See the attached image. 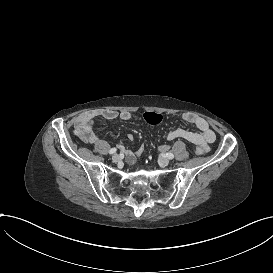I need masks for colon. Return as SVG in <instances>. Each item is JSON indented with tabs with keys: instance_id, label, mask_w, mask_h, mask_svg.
Masks as SVG:
<instances>
[{
	"instance_id": "1",
	"label": "colon",
	"mask_w": 273,
	"mask_h": 273,
	"mask_svg": "<svg viewBox=\"0 0 273 273\" xmlns=\"http://www.w3.org/2000/svg\"><path fill=\"white\" fill-rule=\"evenodd\" d=\"M146 120H147L148 123H150V124H152V125H158V124H160V123L163 122L164 117H163L162 114H160V113H154V114H152V115L147 114V115H146ZM146 147H147V146H146V144H145V141H144V140H141V141H140V144H139V146L137 147L136 152H135L138 159H141V158H142V155H143V153H144Z\"/></svg>"
}]
</instances>
